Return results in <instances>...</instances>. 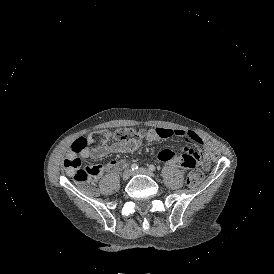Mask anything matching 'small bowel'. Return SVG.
Listing matches in <instances>:
<instances>
[{"label": "small bowel", "mask_w": 274, "mask_h": 274, "mask_svg": "<svg viewBox=\"0 0 274 274\" xmlns=\"http://www.w3.org/2000/svg\"><path fill=\"white\" fill-rule=\"evenodd\" d=\"M171 137H180L185 141L195 145L197 153L190 151L189 149H179V143L177 140H172L170 148L158 149L155 152V157L158 160H164L171 167H185L189 169H196L199 167L197 158L201 159V165L204 168H209L210 158L207 155V148L202 138L193 131L182 129H170L166 127H152L145 133V139L148 142H155L160 139H166ZM140 146V142H114L106 145H98L93 147H85L81 152L83 158L99 159L107 154L111 153H128L134 151ZM124 165V161H113L106 166H100V173L104 170L120 168ZM99 173V174H100Z\"/></svg>", "instance_id": "small-bowel-1"}]
</instances>
